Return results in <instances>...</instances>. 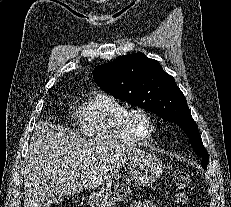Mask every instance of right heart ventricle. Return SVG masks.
I'll return each mask as SVG.
<instances>
[{
    "mask_svg": "<svg viewBox=\"0 0 231 207\" xmlns=\"http://www.w3.org/2000/svg\"><path fill=\"white\" fill-rule=\"evenodd\" d=\"M127 106L104 91H96L91 97L73 109L78 131L86 137L105 142L136 144L128 131L124 115Z\"/></svg>",
    "mask_w": 231,
    "mask_h": 207,
    "instance_id": "1",
    "label": "right heart ventricle"
}]
</instances>
